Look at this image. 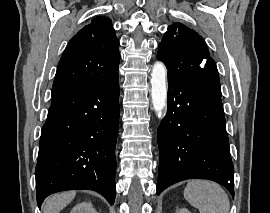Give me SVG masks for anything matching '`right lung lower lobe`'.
Listing matches in <instances>:
<instances>
[{
	"label": "right lung lower lobe",
	"mask_w": 270,
	"mask_h": 213,
	"mask_svg": "<svg viewBox=\"0 0 270 213\" xmlns=\"http://www.w3.org/2000/svg\"><path fill=\"white\" fill-rule=\"evenodd\" d=\"M119 79L52 97L35 170L37 203L55 192L95 190L115 201Z\"/></svg>",
	"instance_id": "98d812e1"
}]
</instances>
